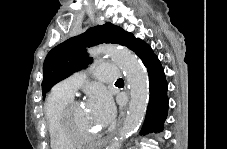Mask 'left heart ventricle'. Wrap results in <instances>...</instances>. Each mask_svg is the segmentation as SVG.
Returning <instances> with one entry per match:
<instances>
[{
	"instance_id": "1",
	"label": "left heart ventricle",
	"mask_w": 227,
	"mask_h": 149,
	"mask_svg": "<svg viewBox=\"0 0 227 149\" xmlns=\"http://www.w3.org/2000/svg\"><path fill=\"white\" fill-rule=\"evenodd\" d=\"M73 129L83 135H93L98 131V122L94 113L86 108L79 106L73 113Z\"/></svg>"
}]
</instances>
